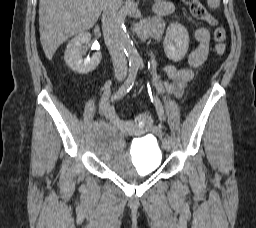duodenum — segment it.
I'll return each mask as SVG.
<instances>
[{
    "label": "duodenum",
    "instance_id": "1",
    "mask_svg": "<svg viewBox=\"0 0 256 228\" xmlns=\"http://www.w3.org/2000/svg\"><path fill=\"white\" fill-rule=\"evenodd\" d=\"M136 35L144 40L150 36L158 37L159 33L156 26L153 23H141L135 28Z\"/></svg>",
    "mask_w": 256,
    "mask_h": 228
}]
</instances>
